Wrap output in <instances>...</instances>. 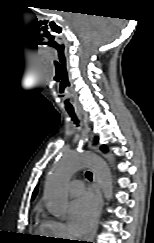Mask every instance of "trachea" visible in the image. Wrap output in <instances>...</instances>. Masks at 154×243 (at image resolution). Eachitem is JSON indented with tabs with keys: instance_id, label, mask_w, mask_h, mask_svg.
<instances>
[{
	"instance_id": "1",
	"label": "trachea",
	"mask_w": 154,
	"mask_h": 243,
	"mask_svg": "<svg viewBox=\"0 0 154 243\" xmlns=\"http://www.w3.org/2000/svg\"><path fill=\"white\" fill-rule=\"evenodd\" d=\"M66 110H67L68 114L70 115V117L72 118V120L74 121V123L76 125H78L79 121H78V119L76 117V114L74 112V109H72V108H66ZM86 177H87V179H89L91 181L92 180V173L89 172V171H87L86 172Z\"/></svg>"
}]
</instances>
